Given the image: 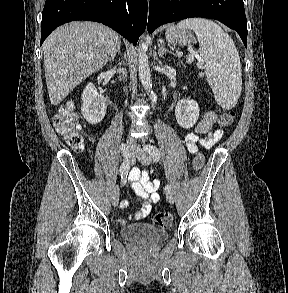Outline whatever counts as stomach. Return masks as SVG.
<instances>
[{
    "label": "stomach",
    "mask_w": 288,
    "mask_h": 293,
    "mask_svg": "<svg viewBox=\"0 0 288 293\" xmlns=\"http://www.w3.org/2000/svg\"><path fill=\"white\" fill-rule=\"evenodd\" d=\"M165 36L168 42L179 46H186L187 44H190L194 39L191 31L186 29H178L174 26L169 27L166 30Z\"/></svg>",
    "instance_id": "1"
}]
</instances>
